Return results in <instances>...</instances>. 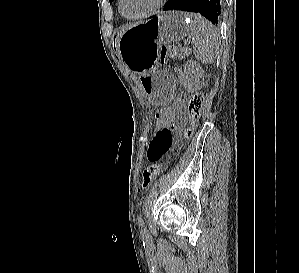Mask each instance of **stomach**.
<instances>
[{
    "instance_id": "0dacf381",
    "label": "stomach",
    "mask_w": 299,
    "mask_h": 273,
    "mask_svg": "<svg viewBox=\"0 0 299 273\" xmlns=\"http://www.w3.org/2000/svg\"><path fill=\"white\" fill-rule=\"evenodd\" d=\"M188 32L185 14L172 11L154 15L126 30L120 37L117 44L119 55L124 64L139 74L137 79L148 101H169L172 76L160 69L157 61H160L162 44L177 42Z\"/></svg>"
}]
</instances>
